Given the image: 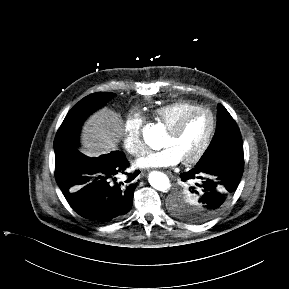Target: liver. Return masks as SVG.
I'll return each mask as SVG.
<instances>
[{"label": "liver", "mask_w": 289, "mask_h": 289, "mask_svg": "<svg viewBox=\"0 0 289 289\" xmlns=\"http://www.w3.org/2000/svg\"><path fill=\"white\" fill-rule=\"evenodd\" d=\"M123 134L121 116L103 108L89 117L81 134V151L89 157H97L116 148Z\"/></svg>", "instance_id": "liver-1"}]
</instances>
